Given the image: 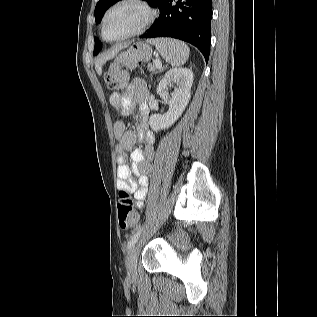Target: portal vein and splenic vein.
I'll use <instances>...</instances> for the list:
<instances>
[{
  "mask_svg": "<svg viewBox=\"0 0 317 317\" xmlns=\"http://www.w3.org/2000/svg\"><path fill=\"white\" fill-rule=\"evenodd\" d=\"M155 65H156V67H157L158 69H160V68L162 67V63H161V61H160L159 59H156V60H155Z\"/></svg>",
  "mask_w": 317,
  "mask_h": 317,
  "instance_id": "portal-vein-and-splenic-vein-1",
  "label": "portal vein and splenic vein"
}]
</instances>
